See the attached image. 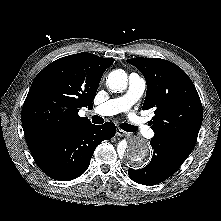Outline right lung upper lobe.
I'll return each mask as SVG.
<instances>
[{"label":"right lung upper lobe","mask_w":221,"mask_h":221,"mask_svg":"<svg viewBox=\"0 0 221 221\" xmlns=\"http://www.w3.org/2000/svg\"><path fill=\"white\" fill-rule=\"evenodd\" d=\"M113 62L82 52L46 66L33 80L22 108L27 144L91 124L78 115L79 108L93 107L101 77Z\"/></svg>","instance_id":"right-lung-upper-lobe-1"}]
</instances>
